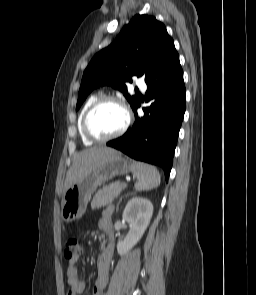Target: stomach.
I'll list each match as a JSON object with an SVG mask.
<instances>
[{
  "mask_svg": "<svg viewBox=\"0 0 256 295\" xmlns=\"http://www.w3.org/2000/svg\"><path fill=\"white\" fill-rule=\"evenodd\" d=\"M133 171V165L119 153L106 156L76 181L63 195L61 217L65 222L80 219L92 194L106 180Z\"/></svg>",
  "mask_w": 256,
  "mask_h": 295,
  "instance_id": "0dacf381",
  "label": "stomach"
}]
</instances>
